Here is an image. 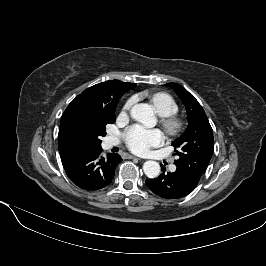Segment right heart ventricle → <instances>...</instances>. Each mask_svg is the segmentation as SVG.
<instances>
[{"instance_id":"e07e8e85","label":"right heart ventricle","mask_w":266,"mask_h":266,"mask_svg":"<svg viewBox=\"0 0 266 266\" xmlns=\"http://www.w3.org/2000/svg\"><path fill=\"white\" fill-rule=\"evenodd\" d=\"M150 101L161 117L174 115L179 109L177 102L169 94L164 92L152 94Z\"/></svg>"}]
</instances>
